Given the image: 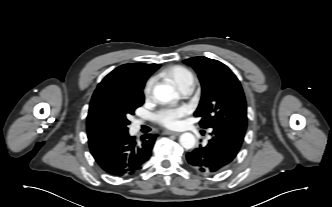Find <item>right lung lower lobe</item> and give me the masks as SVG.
Masks as SVG:
<instances>
[{
  "instance_id": "98d812e1",
  "label": "right lung lower lobe",
  "mask_w": 332,
  "mask_h": 207,
  "mask_svg": "<svg viewBox=\"0 0 332 207\" xmlns=\"http://www.w3.org/2000/svg\"><path fill=\"white\" fill-rule=\"evenodd\" d=\"M156 137L146 134L137 141L127 130L89 140V147L94 159L104 171L113 176H128L141 169L150 158Z\"/></svg>"
}]
</instances>
